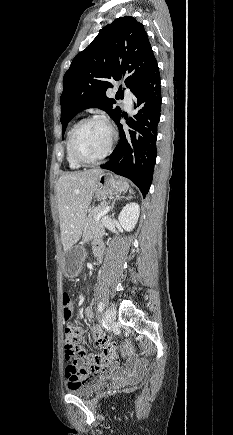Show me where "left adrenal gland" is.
<instances>
[{
	"mask_svg": "<svg viewBox=\"0 0 233 435\" xmlns=\"http://www.w3.org/2000/svg\"><path fill=\"white\" fill-rule=\"evenodd\" d=\"M124 198V197H123ZM129 197H126V199H128ZM116 200H120V198H116L113 202H112V204H111V208H110V210L112 211L113 210V208H114V205H115V201Z\"/></svg>",
	"mask_w": 233,
	"mask_h": 435,
	"instance_id": "a2214340",
	"label": "left adrenal gland"
}]
</instances>
